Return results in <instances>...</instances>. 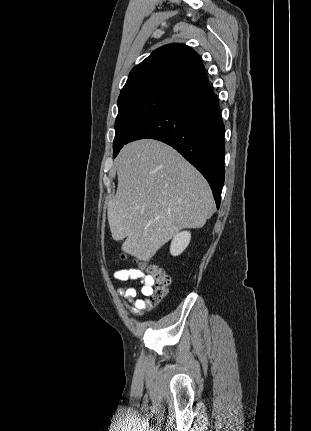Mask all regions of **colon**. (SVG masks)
Here are the masks:
<instances>
[{"label":"colon","mask_w":311,"mask_h":431,"mask_svg":"<svg viewBox=\"0 0 311 431\" xmlns=\"http://www.w3.org/2000/svg\"><path fill=\"white\" fill-rule=\"evenodd\" d=\"M144 266L150 277V300L153 304H158L168 293L170 279L166 272L158 265L154 263H145Z\"/></svg>","instance_id":"1"}]
</instances>
